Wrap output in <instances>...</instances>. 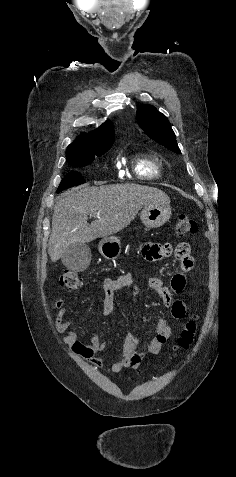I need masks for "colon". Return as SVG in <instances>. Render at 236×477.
<instances>
[{
	"mask_svg": "<svg viewBox=\"0 0 236 477\" xmlns=\"http://www.w3.org/2000/svg\"><path fill=\"white\" fill-rule=\"evenodd\" d=\"M198 231V226L195 220L188 216L181 215L175 222V234L179 237L194 235ZM186 253V250H182ZM61 286L69 289H78L84 285V280L74 271H64L60 277ZM196 333V322L191 321L187 324L185 330L180 337V346L183 349L189 348L192 344ZM141 361L140 355H133L131 359L132 366L137 365Z\"/></svg>",
	"mask_w": 236,
	"mask_h": 477,
	"instance_id": "1",
	"label": "colon"
}]
</instances>
